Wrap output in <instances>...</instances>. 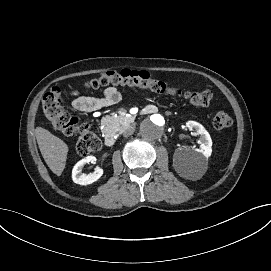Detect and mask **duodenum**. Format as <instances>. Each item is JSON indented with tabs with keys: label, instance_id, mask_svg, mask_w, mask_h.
I'll return each mask as SVG.
<instances>
[{
	"label": "duodenum",
	"instance_id": "obj_1",
	"mask_svg": "<svg viewBox=\"0 0 271 271\" xmlns=\"http://www.w3.org/2000/svg\"><path fill=\"white\" fill-rule=\"evenodd\" d=\"M115 141V137L111 133L104 136V143L107 147H112L115 144Z\"/></svg>",
	"mask_w": 271,
	"mask_h": 271
}]
</instances>
